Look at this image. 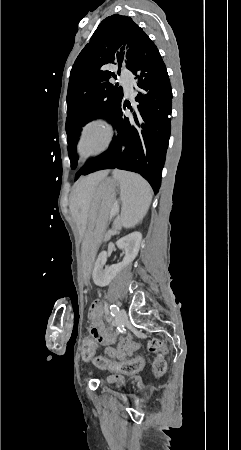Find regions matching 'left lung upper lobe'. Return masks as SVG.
<instances>
[{"label":"left lung upper lobe","mask_w":241,"mask_h":450,"mask_svg":"<svg viewBox=\"0 0 241 450\" xmlns=\"http://www.w3.org/2000/svg\"><path fill=\"white\" fill-rule=\"evenodd\" d=\"M155 44L130 17L112 15L104 19L74 62L67 93L66 133L71 167L76 168V145L81 127L92 119L112 120L123 99V89L112 85L115 77L109 63L132 62Z\"/></svg>","instance_id":"1"}]
</instances>
